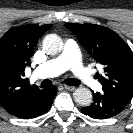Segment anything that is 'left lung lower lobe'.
Masks as SVG:
<instances>
[{
  "label": "left lung lower lobe",
  "instance_id": "obj_1",
  "mask_svg": "<svg viewBox=\"0 0 133 133\" xmlns=\"http://www.w3.org/2000/svg\"><path fill=\"white\" fill-rule=\"evenodd\" d=\"M128 101L115 96L96 92L93 94L91 105L81 109L82 113L95 119H106L119 114Z\"/></svg>",
  "mask_w": 133,
  "mask_h": 133
}]
</instances>
